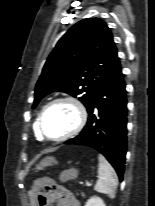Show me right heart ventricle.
<instances>
[{
  "mask_svg": "<svg viewBox=\"0 0 155 206\" xmlns=\"http://www.w3.org/2000/svg\"><path fill=\"white\" fill-rule=\"evenodd\" d=\"M34 131H35V135L38 139H41L40 136L38 135V132H37V121L35 122V125H34Z\"/></svg>",
  "mask_w": 155,
  "mask_h": 206,
  "instance_id": "right-heart-ventricle-1",
  "label": "right heart ventricle"
}]
</instances>
